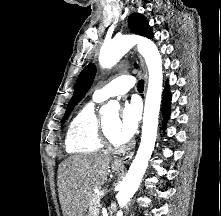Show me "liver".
<instances>
[{
    "instance_id": "1",
    "label": "liver",
    "mask_w": 221,
    "mask_h": 216,
    "mask_svg": "<svg viewBox=\"0 0 221 216\" xmlns=\"http://www.w3.org/2000/svg\"><path fill=\"white\" fill-rule=\"evenodd\" d=\"M111 158L73 155L59 166L58 192L63 216H85L93 190L103 185Z\"/></svg>"
}]
</instances>
